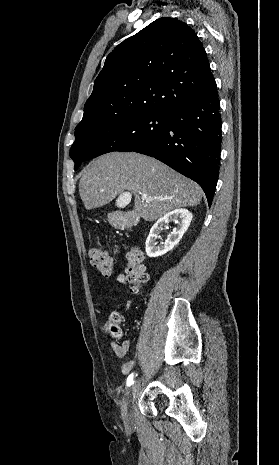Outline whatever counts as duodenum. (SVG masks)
<instances>
[{
  "mask_svg": "<svg viewBox=\"0 0 279 465\" xmlns=\"http://www.w3.org/2000/svg\"><path fill=\"white\" fill-rule=\"evenodd\" d=\"M136 219L135 217L133 216H129V217H126L124 220H123V225L125 226H131L135 223Z\"/></svg>",
  "mask_w": 279,
  "mask_h": 465,
  "instance_id": "410a0bca",
  "label": "duodenum"
}]
</instances>
